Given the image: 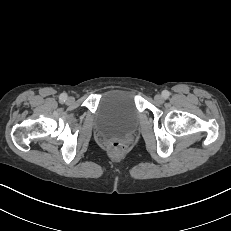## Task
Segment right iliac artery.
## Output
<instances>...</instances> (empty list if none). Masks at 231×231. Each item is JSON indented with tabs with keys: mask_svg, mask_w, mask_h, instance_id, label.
I'll list each match as a JSON object with an SVG mask.
<instances>
[{
	"mask_svg": "<svg viewBox=\"0 0 231 231\" xmlns=\"http://www.w3.org/2000/svg\"><path fill=\"white\" fill-rule=\"evenodd\" d=\"M59 99H60L61 102H65V101L67 100V94L62 93V94L60 95Z\"/></svg>",
	"mask_w": 231,
	"mask_h": 231,
	"instance_id": "obj_1",
	"label": "right iliac artery"
}]
</instances>
